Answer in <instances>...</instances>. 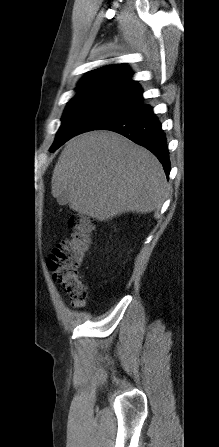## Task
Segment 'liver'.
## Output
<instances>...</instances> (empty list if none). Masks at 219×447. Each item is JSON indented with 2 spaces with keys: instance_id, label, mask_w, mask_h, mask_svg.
Listing matches in <instances>:
<instances>
[{
  "instance_id": "1",
  "label": "liver",
  "mask_w": 219,
  "mask_h": 447,
  "mask_svg": "<svg viewBox=\"0 0 219 447\" xmlns=\"http://www.w3.org/2000/svg\"><path fill=\"white\" fill-rule=\"evenodd\" d=\"M161 163L147 149L110 131L71 139L52 176V196L99 221L159 209L167 195Z\"/></svg>"
}]
</instances>
